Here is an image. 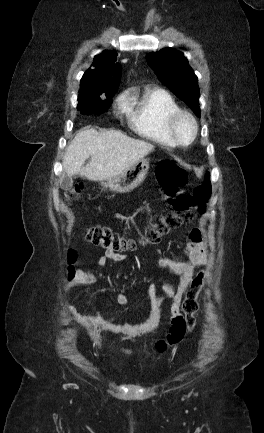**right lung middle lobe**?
I'll use <instances>...</instances> for the list:
<instances>
[{"mask_svg":"<svg viewBox=\"0 0 264 433\" xmlns=\"http://www.w3.org/2000/svg\"><path fill=\"white\" fill-rule=\"evenodd\" d=\"M113 96L114 94L100 98L78 99L77 109L84 115L101 114L110 107Z\"/></svg>","mask_w":264,"mask_h":433,"instance_id":"dd1d6c3e","label":"right lung middle lobe"}]
</instances>
